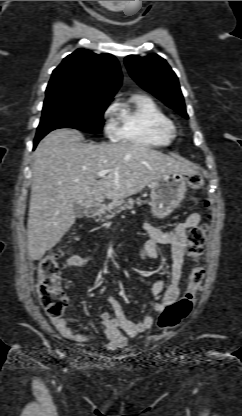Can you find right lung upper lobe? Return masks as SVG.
Listing matches in <instances>:
<instances>
[{
	"instance_id": "cb5924a9",
	"label": "right lung upper lobe",
	"mask_w": 242,
	"mask_h": 416,
	"mask_svg": "<svg viewBox=\"0 0 242 416\" xmlns=\"http://www.w3.org/2000/svg\"><path fill=\"white\" fill-rule=\"evenodd\" d=\"M121 81L120 67L113 55L77 49L54 69L46 97L112 100Z\"/></svg>"
}]
</instances>
